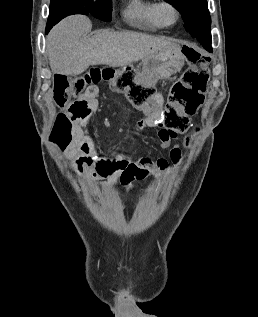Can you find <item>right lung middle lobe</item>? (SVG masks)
Here are the masks:
<instances>
[{
  "label": "right lung middle lobe",
  "instance_id": "1",
  "mask_svg": "<svg viewBox=\"0 0 258 317\" xmlns=\"http://www.w3.org/2000/svg\"><path fill=\"white\" fill-rule=\"evenodd\" d=\"M55 1L58 0H51V2ZM84 2L95 9L96 18L103 21H111L112 0H84Z\"/></svg>",
  "mask_w": 258,
  "mask_h": 317
}]
</instances>
